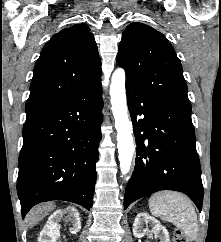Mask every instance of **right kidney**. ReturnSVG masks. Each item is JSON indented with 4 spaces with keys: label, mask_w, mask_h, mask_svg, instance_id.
<instances>
[{
    "label": "right kidney",
    "mask_w": 221,
    "mask_h": 242,
    "mask_svg": "<svg viewBox=\"0 0 221 242\" xmlns=\"http://www.w3.org/2000/svg\"><path fill=\"white\" fill-rule=\"evenodd\" d=\"M67 214V219L72 223L71 232L77 233L81 229V222L79 212L75 207H67L65 209L56 210L46 222L44 228L40 232L38 242H57L60 237V225L59 223Z\"/></svg>",
    "instance_id": "obj_1"
}]
</instances>
